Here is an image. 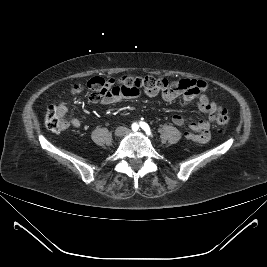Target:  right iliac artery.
Returning <instances> with one entry per match:
<instances>
[{"instance_id": "right-iliac-artery-1", "label": "right iliac artery", "mask_w": 267, "mask_h": 267, "mask_svg": "<svg viewBox=\"0 0 267 267\" xmlns=\"http://www.w3.org/2000/svg\"><path fill=\"white\" fill-rule=\"evenodd\" d=\"M138 128H139V126H138L136 123H133V124H132V129H133L134 131H137Z\"/></svg>"}]
</instances>
